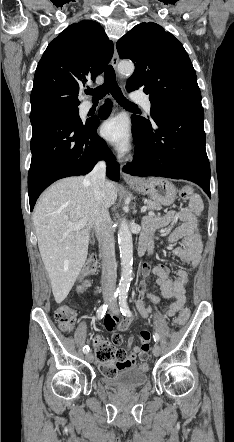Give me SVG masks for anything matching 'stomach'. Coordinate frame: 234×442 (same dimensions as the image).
Returning a JSON list of instances; mask_svg holds the SVG:
<instances>
[{
    "instance_id": "stomach-1",
    "label": "stomach",
    "mask_w": 234,
    "mask_h": 442,
    "mask_svg": "<svg viewBox=\"0 0 234 442\" xmlns=\"http://www.w3.org/2000/svg\"><path fill=\"white\" fill-rule=\"evenodd\" d=\"M131 186L138 192L148 195L151 200L165 206L171 205L177 196L176 187L170 181L162 178L140 180Z\"/></svg>"
}]
</instances>
